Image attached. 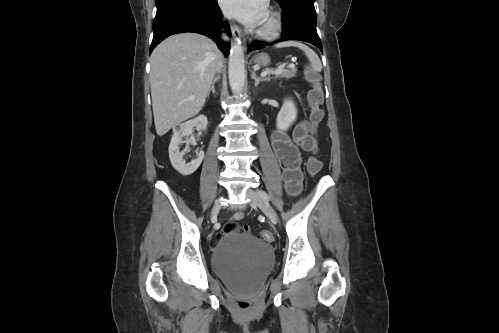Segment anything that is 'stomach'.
Returning a JSON list of instances; mask_svg holds the SVG:
<instances>
[{
    "label": "stomach",
    "instance_id": "obj_1",
    "mask_svg": "<svg viewBox=\"0 0 499 333\" xmlns=\"http://www.w3.org/2000/svg\"><path fill=\"white\" fill-rule=\"evenodd\" d=\"M253 62L260 66H267L270 63V57L266 53H260L253 59Z\"/></svg>",
    "mask_w": 499,
    "mask_h": 333
}]
</instances>
